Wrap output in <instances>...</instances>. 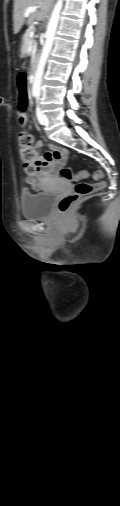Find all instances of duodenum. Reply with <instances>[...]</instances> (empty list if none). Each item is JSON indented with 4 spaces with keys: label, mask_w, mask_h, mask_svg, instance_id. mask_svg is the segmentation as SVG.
<instances>
[{
    "label": "duodenum",
    "mask_w": 120,
    "mask_h": 506,
    "mask_svg": "<svg viewBox=\"0 0 120 506\" xmlns=\"http://www.w3.org/2000/svg\"><path fill=\"white\" fill-rule=\"evenodd\" d=\"M37 68H38V59H35L34 63H33V69H32V80L35 79V76H36V73H37Z\"/></svg>",
    "instance_id": "obj_1"
}]
</instances>
